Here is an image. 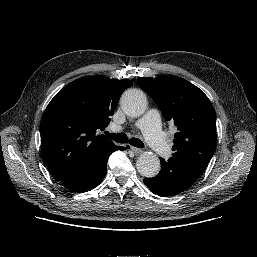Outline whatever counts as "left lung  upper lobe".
Masks as SVG:
<instances>
[{"instance_id":"left-lung-upper-lobe-1","label":"left lung upper lobe","mask_w":257,"mask_h":257,"mask_svg":"<svg viewBox=\"0 0 257 257\" xmlns=\"http://www.w3.org/2000/svg\"><path fill=\"white\" fill-rule=\"evenodd\" d=\"M166 120L174 122L175 157L204 170L216 150V115L208 97L195 85L177 76L137 78Z\"/></svg>"}]
</instances>
